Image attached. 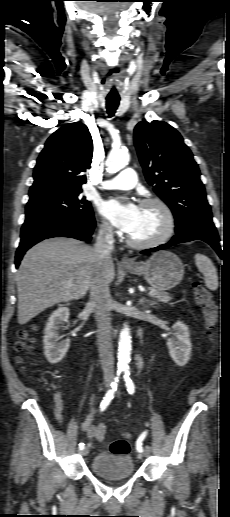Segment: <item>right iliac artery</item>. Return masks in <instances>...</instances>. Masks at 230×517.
<instances>
[{"label":"right iliac artery","mask_w":230,"mask_h":517,"mask_svg":"<svg viewBox=\"0 0 230 517\" xmlns=\"http://www.w3.org/2000/svg\"><path fill=\"white\" fill-rule=\"evenodd\" d=\"M120 373H121V371L117 372L116 377L114 378V381L110 385L111 386L110 389L105 394V396L101 402V405H100L101 411H104L107 408V406L110 404L111 400L113 399L114 393L117 390ZM83 448H84V443H80L79 449L82 450Z\"/></svg>","instance_id":"82829eb1"}]
</instances>
